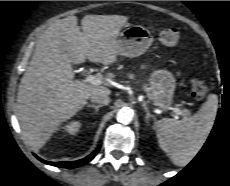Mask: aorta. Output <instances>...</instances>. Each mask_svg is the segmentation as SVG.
<instances>
[{"label":"aorta","instance_id":"aorta-1","mask_svg":"<svg viewBox=\"0 0 230 186\" xmlns=\"http://www.w3.org/2000/svg\"><path fill=\"white\" fill-rule=\"evenodd\" d=\"M117 121L122 124H129L133 120V112L129 108H122L116 115Z\"/></svg>","mask_w":230,"mask_h":186}]
</instances>
